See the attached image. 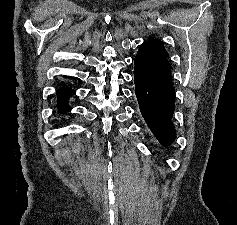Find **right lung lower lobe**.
<instances>
[{
	"label": "right lung lower lobe",
	"instance_id": "98d812e1",
	"mask_svg": "<svg viewBox=\"0 0 237 225\" xmlns=\"http://www.w3.org/2000/svg\"><path fill=\"white\" fill-rule=\"evenodd\" d=\"M73 94H75V91L69 87H62L59 90H57V96L59 98L58 109L60 113H64L70 110V107L67 105L66 101Z\"/></svg>",
	"mask_w": 237,
	"mask_h": 225
}]
</instances>
